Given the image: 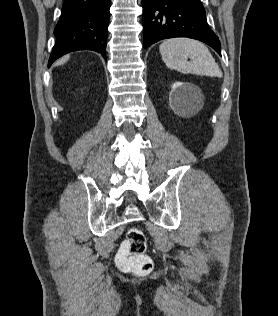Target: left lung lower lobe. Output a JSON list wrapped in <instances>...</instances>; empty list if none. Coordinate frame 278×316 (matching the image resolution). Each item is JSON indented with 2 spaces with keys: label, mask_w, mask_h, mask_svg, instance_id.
I'll return each instance as SVG.
<instances>
[{
  "label": "left lung lower lobe",
  "mask_w": 278,
  "mask_h": 316,
  "mask_svg": "<svg viewBox=\"0 0 278 316\" xmlns=\"http://www.w3.org/2000/svg\"><path fill=\"white\" fill-rule=\"evenodd\" d=\"M144 48L173 37H189L210 45L219 55L220 41L208 27L200 0H142Z\"/></svg>",
  "instance_id": "left-lung-lower-lobe-1"
}]
</instances>
